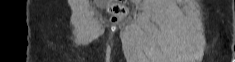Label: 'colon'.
Here are the masks:
<instances>
[{
    "mask_svg": "<svg viewBox=\"0 0 235 62\" xmlns=\"http://www.w3.org/2000/svg\"><path fill=\"white\" fill-rule=\"evenodd\" d=\"M107 11L112 22H118L127 15V8L124 0H109Z\"/></svg>",
    "mask_w": 235,
    "mask_h": 62,
    "instance_id": "1",
    "label": "colon"
}]
</instances>
